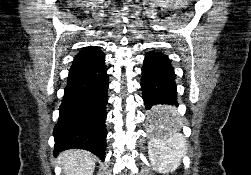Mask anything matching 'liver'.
<instances>
[{"instance_id":"1","label":"liver","mask_w":251,"mask_h":175,"mask_svg":"<svg viewBox=\"0 0 251 175\" xmlns=\"http://www.w3.org/2000/svg\"><path fill=\"white\" fill-rule=\"evenodd\" d=\"M59 159L65 175H93L96 159L85 149H67Z\"/></svg>"}]
</instances>
